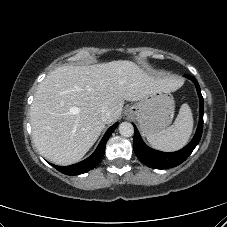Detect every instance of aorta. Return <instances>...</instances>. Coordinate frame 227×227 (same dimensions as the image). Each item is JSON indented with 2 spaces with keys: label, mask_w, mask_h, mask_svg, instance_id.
I'll return each instance as SVG.
<instances>
[{
  "label": "aorta",
  "mask_w": 227,
  "mask_h": 227,
  "mask_svg": "<svg viewBox=\"0 0 227 227\" xmlns=\"http://www.w3.org/2000/svg\"><path fill=\"white\" fill-rule=\"evenodd\" d=\"M119 133L124 137H131L134 133L133 125L129 122H122L119 125Z\"/></svg>",
  "instance_id": "1"
}]
</instances>
